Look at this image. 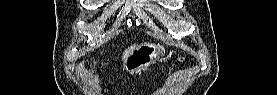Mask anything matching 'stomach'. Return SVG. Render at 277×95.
Instances as JSON below:
<instances>
[{"instance_id": "stomach-1", "label": "stomach", "mask_w": 277, "mask_h": 95, "mask_svg": "<svg viewBox=\"0 0 277 95\" xmlns=\"http://www.w3.org/2000/svg\"><path fill=\"white\" fill-rule=\"evenodd\" d=\"M164 55V48L160 45L145 42L134 48L125 57L123 69L130 73H139L146 70Z\"/></svg>"}]
</instances>
